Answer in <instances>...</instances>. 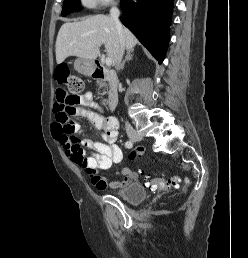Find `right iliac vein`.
Instances as JSON below:
<instances>
[{"mask_svg": "<svg viewBox=\"0 0 248 258\" xmlns=\"http://www.w3.org/2000/svg\"><path fill=\"white\" fill-rule=\"evenodd\" d=\"M129 137L133 141H141V140L144 139V136L141 133H138V132H135V131H131L129 133Z\"/></svg>", "mask_w": 248, "mask_h": 258, "instance_id": "obj_1", "label": "right iliac vein"}]
</instances>
